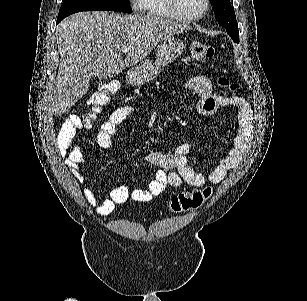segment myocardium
<instances>
[{
	"label": "myocardium",
	"instance_id": "myocardium-1",
	"mask_svg": "<svg viewBox=\"0 0 307 301\" xmlns=\"http://www.w3.org/2000/svg\"><path fill=\"white\" fill-rule=\"evenodd\" d=\"M177 0H166L168 3V11L171 12L169 17L175 18L176 22H200V17H204L207 13V0H202V6L199 11L181 10L176 11Z\"/></svg>",
	"mask_w": 307,
	"mask_h": 301
}]
</instances>
